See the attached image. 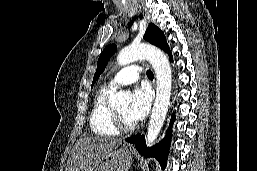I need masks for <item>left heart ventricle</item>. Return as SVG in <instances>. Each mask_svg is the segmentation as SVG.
<instances>
[{"label": "left heart ventricle", "mask_w": 257, "mask_h": 171, "mask_svg": "<svg viewBox=\"0 0 257 171\" xmlns=\"http://www.w3.org/2000/svg\"><path fill=\"white\" fill-rule=\"evenodd\" d=\"M128 108H129L128 104H125L117 107L116 110L127 123L133 124L134 122L128 116Z\"/></svg>", "instance_id": "obj_1"}]
</instances>
